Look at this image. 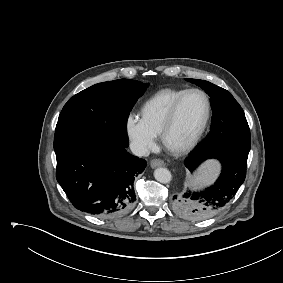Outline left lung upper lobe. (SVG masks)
<instances>
[{
	"label": "left lung upper lobe",
	"mask_w": 283,
	"mask_h": 283,
	"mask_svg": "<svg viewBox=\"0 0 283 283\" xmlns=\"http://www.w3.org/2000/svg\"><path fill=\"white\" fill-rule=\"evenodd\" d=\"M186 81L205 90L213 110L210 132L196 149L231 148L249 152V126L243 109L232 94L208 81L189 78Z\"/></svg>",
	"instance_id": "5c2ea615"
}]
</instances>
